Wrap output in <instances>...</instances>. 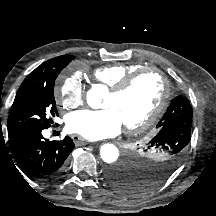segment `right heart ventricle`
<instances>
[{"label":"right heart ventricle","mask_w":216,"mask_h":216,"mask_svg":"<svg viewBox=\"0 0 216 216\" xmlns=\"http://www.w3.org/2000/svg\"><path fill=\"white\" fill-rule=\"evenodd\" d=\"M140 68L142 66L135 63L108 64L96 68L93 71V77L97 82L111 88L120 82L122 78Z\"/></svg>","instance_id":"1"}]
</instances>
